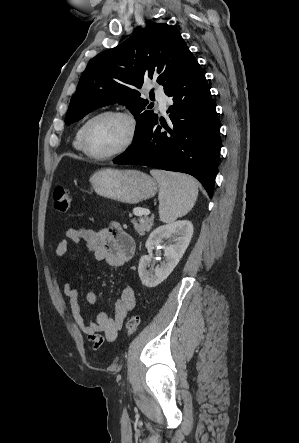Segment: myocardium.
<instances>
[{"mask_svg": "<svg viewBox=\"0 0 299 443\" xmlns=\"http://www.w3.org/2000/svg\"><path fill=\"white\" fill-rule=\"evenodd\" d=\"M105 116H114V117H119L122 118L123 120L126 121L127 125H128V135L127 138L125 140V142L116 150L107 153V154H102V155H98L93 153L87 144V133H88V129L90 127V125L97 119L101 118V117H105ZM136 135H137V123L135 118L128 112L125 111H121V110H104L101 111L97 114H95L94 116H92L90 119H88L85 124L83 125L82 128V132H81V147L83 152L90 158L94 159V160H108V159H112L114 157H117L121 154H123L124 152H126L134 143L135 139H136Z\"/></svg>", "mask_w": 299, "mask_h": 443, "instance_id": "obj_1", "label": "myocardium"}]
</instances>
